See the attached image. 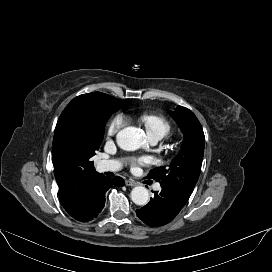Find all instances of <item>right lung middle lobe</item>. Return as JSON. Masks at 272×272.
<instances>
[{
	"label": "right lung middle lobe",
	"instance_id": "right-lung-middle-lobe-1",
	"mask_svg": "<svg viewBox=\"0 0 272 272\" xmlns=\"http://www.w3.org/2000/svg\"><path fill=\"white\" fill-rule=\"evenodd\" d=\"M125 105L121 100L106 94L90 114L67 129L65 138L67 146L87 166L93 167L91 158L103 140L106 122L114 112Z\"/></svg>",
	"mask_w": 272,
	"mask_h": 272
}]
</instances>
